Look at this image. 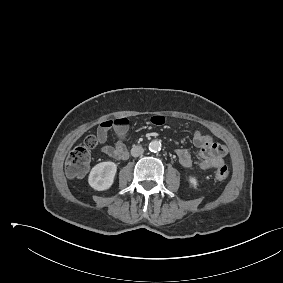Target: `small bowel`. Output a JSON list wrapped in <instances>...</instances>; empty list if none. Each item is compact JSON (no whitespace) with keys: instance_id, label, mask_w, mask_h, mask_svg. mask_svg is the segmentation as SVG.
Wrapping results in <instances>:
<instances>
[{"instance_id":"small-bowel-1","label":"small bowel","mask_w":283,"mask_h":283,"mask_svg":"<svg viewBox=\"0 0 283 283\" xmlns=\"http://www.w3.org/2000/svg\"><path fill=\"white\" fill-rule=\"evenodd\" d=\"M151 121L155 125H162L164 117L156 115L152 117ZM128 129V121L124 117L102 122L97 131V139L101 145L100 152L117 160H125L128 157V150L124 140ZM110 130H113L117 137V142L114 146L106 144ZM193 142L197 147L196 158L187 149L179 148L175 150L179 163L183 167H197L201 171H208L224 165L227 148L215 142L211 135L195 131Z\"/></svg>"}]
</instances>
